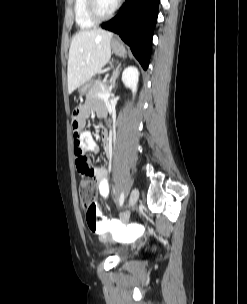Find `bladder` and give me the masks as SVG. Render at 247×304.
Listing matches in <instances>:
<instances>
[{
  "label": "bladder",
  "instance_id": "obj_1",
  "mask_svg": "<svg viewBox=\"0 0 247 304\" xmlns=\"http://www.w3.org/2000/svg\"><path fill=\"white\" fill-rule=\"evenodd\" d=\"M103 252L106 254H111V253L115 254L116 256H118L120 258L124 257L127 254L126 250L123 248L106 249Z\"/></svg>",
  "mask_w": 247,
  "mask_h": 304
}]
</instances>
